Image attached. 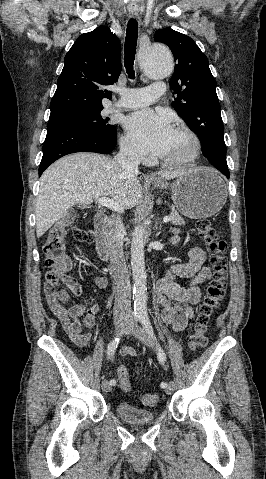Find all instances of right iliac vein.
<instances>
[{"mask_svg": "<svg viewBox=\"0 0 266 479\" xmlns=\"http://www.w3.org/2000/svg\"><path fill=\"white\" fill-rule=\"evenodd\" d=\"M128 328V323L127 322H119L115 325V335L117 337L121 336ZM102 390L104 392H109L111 390V385L107 380H104L102 382Z\"/></svg>", "mask_w": 266, "mask_h": 479, "instance_id": "right-iliac-vein-1", "label": "right iliac vein"}]
</instances>
